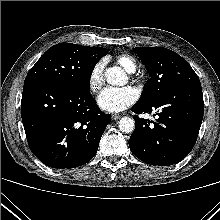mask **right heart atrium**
Wrapping results in <instances>:
<instances>
[{
	"label": "right heart atrium",
	"instance_id": "right-heart-atrium-1",
	"mask_svg": "<svg viewBox=\"0 0 220 220\" xmlns=\"http://www.w3.org/2000/svg\"><path fill=\"white\" fill-rule=\"evenodd\" d=\"M105 60L100 59L90 69L88 85L92 92H97L104 83Z\"/></svg>",
	"mask_w": 220,
	"mask_h": 220
}]
</instances>
